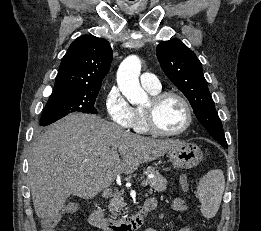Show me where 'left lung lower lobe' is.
Returning a JSON list of instances; mask_svg holds the SVG:
<instances>
[{"mask_svg":"<svg viewBox=\"0 0 261 231\" xmlns=\"http://www.w3.org/2000/svg\"><path fill=\"white\" fill-rule=\"evenodd\" d=\"M222 144V146H224L225 148L228 146L227 143H220Z\"/></svg>","mask_w":261,"mask_h":231,"instance_id":"left-lung-lower-lobe-1","label":"left lung lower lobe"}]
</instances>
